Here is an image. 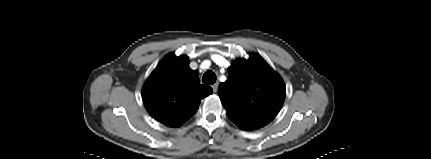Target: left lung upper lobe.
<instances>
[{"label":"left lung upper lobe","instance_id":"left-lung-upper-lobe-1","mask_svg":"<svg viewBox=\"0 0 431 159\" xmlns=\"http://www.w3.org/2000/svg\"><path fill=\"white\" fill-rule=\"evenodd\" d=\"M218 94L227 115L238 127L254 130L274 119L285 99L281 77L258 54L237 59Z\"/></svg>","mask_w":431,"mask_h":159}]
</instances>
